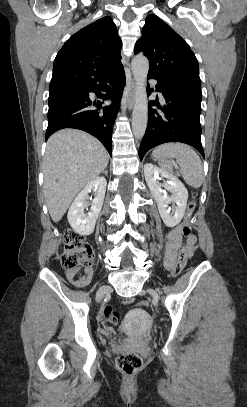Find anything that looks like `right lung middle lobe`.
Instances as JSON below:
<instances>
[{"instance_id": "1", "label": "right lung middle lobe", "mask_w": 247, "mask_h": 407, "mask_svg": "<svg viewBox=\"0 0 247 407\" xmlns=\"http://www.w3.org/2000/svg\"><path fill=\"white\" fill-rule=\"evenodd\" d=\"M83 92V87H72V88H63L49 90V102L59 99L64 96L76 95Z\"/></svg>"}]
</instances>
